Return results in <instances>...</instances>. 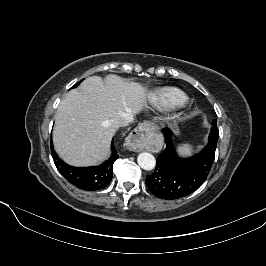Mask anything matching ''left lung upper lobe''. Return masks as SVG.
Listing matches in <instances>:
<instances>
[{
    "label": "left lung upper lobe",
    "instance_id": "obj_1",
    "mask_svg": "<svg viewBox=\"0 0 266 266\" xmlns=\"http://www.w3.org/2000/svg\"><path fill=\"white\" fill-rule=\"evenodd\" d=\"M216 119L212 121V129H211V133L209 135V141H213L214 143L217 142L218 137H219V131L217 128V124H216Z\"/></svg>",
    "mask_w": 266,
    "mask_h": 266
}]
</instances>
